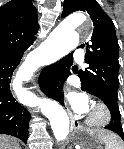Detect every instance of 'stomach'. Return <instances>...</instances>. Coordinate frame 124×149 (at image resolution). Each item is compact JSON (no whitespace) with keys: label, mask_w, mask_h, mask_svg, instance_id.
Listing matches in <instances>:
<instances>
[{"label":"stomach","mask_w":124,"mask_h":149,"mask_svg":"<svg viewBox=\"0 0 124 149\" xmlns=\"http://www.w3.org/2000/svg\"><path fill=\"white\" fill-rule=\"evenodd\" d=\"M105 138L115 139L116 136L106 131L95 132L88 129H78L73 136V141L82 149H102Z\"/></svg>","instance_id":"stomach-1"}]
</instances>
